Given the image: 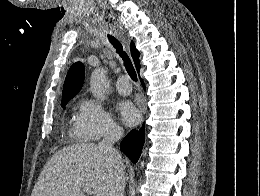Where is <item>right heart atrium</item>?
<instances>
[{
    "instance_id": "d8ad5b80",
    "label": "right heart atrium",
    "mask_w": 260,
    "mask_h": 196,
    "mask_svg": "<svg viewBox=\"0 0 260 196\" xmlns=\"http://www.w3.org/2000/svg\"><path fill=\"white\" fill-rule=\"evenodd\" d=\"M73 129L95 143L102 132L119 129V125L102 103L86 98L80 103Z\"/></svg>"
}]
</instances>
